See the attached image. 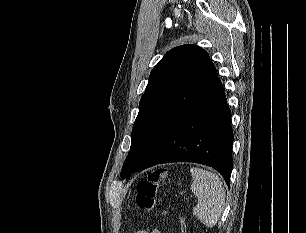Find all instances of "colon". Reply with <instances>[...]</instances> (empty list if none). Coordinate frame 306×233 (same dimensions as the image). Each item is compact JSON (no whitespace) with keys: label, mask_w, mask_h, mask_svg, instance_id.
Instances as JSON below:
<instances>
[{"label":"colon","mask_w":306,"mask_h":233,"mask_svg":"<svg viewBox=\"0 0 306 233\" xmlns=\"http://www.w3.org/2000/svg\"><path fill=\"white\" fill-rule=\"evenodd\" d=\"M167 179L166 168H156L152 170L145 179H143L137 186L136 203L145 210L152 211L157 209V191L160 186ZM158 211L168 216L170 213L164 209H158ZM180 225V233H185V226L183 220L178 218Z\"/></svg>","instance_id":"obj_1"}]
</instances>
